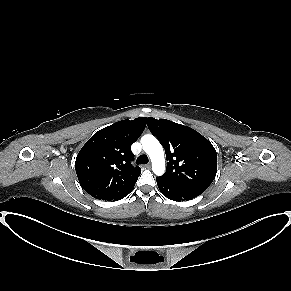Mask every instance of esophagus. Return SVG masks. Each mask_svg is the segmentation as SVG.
Listing matches in <instances>:
<instances>
[{
	"instance_id": "1",
	"label": "esophagus",
	"mask_w": 291,
	"mask_h": 291,
	"mask_svg": "<svg viewBox=\"0 0 291 291\" xmlns=\"http://www.w3.org/2000/svg\"><path fill=\"white\" fill-rule=\"evenodd\" d=\"M144 168H145V169H150V168H151V165H150V164H145V165H144Z\"/></svg>"
}]
</instances>
